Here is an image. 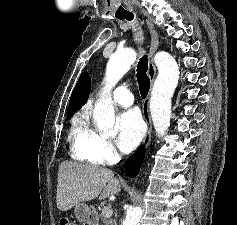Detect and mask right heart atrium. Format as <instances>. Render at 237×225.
I'll return each mask as SVG.
<instances>
[{"instance_id": "d8ad5b80", "label": "right heart atrium", "mask_w": 237, "mask_h": 225, "mask_svg": "<svg viewBox=\"0 0 237 225\" xmlns=\"http://www.w3.org/2000/svg\"><path fill=\"white\" fill-rule=\"evenodd\" d=\"M91 147L94 156L100 163L113 164L118 159L113 141L101 133L95 132Z\"/></svg>"}]
</instances>
